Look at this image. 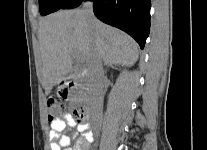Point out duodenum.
Here are the masks:
<instances>
[{
  "mask_svg": "<svg viewBox=\"0 0 207 150\" xmlns=\"http://www.w3.org/2000/svg\"><path fill=\"white\" fill-rule=\"evenodd\" d=\"M65 84L67 85V87L69 88H74V87H77L78 86V83L75 79H68ZM86 92L88 94H92L94 92V87L93 86H86L85 88ZM81 113L83 115V118L84 116L85 117H89L90 116V109L88 107H85L81 110Z\"/></svg>",
  "mask_w": 207,
  "mask_h": 150,
  "instance_id": "duodenum-1",
  "label": "duodenum"
}]
</instances>
